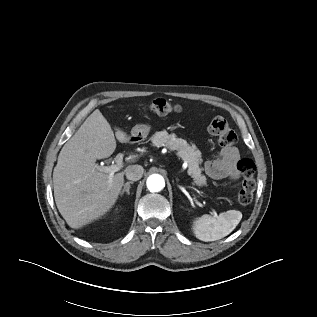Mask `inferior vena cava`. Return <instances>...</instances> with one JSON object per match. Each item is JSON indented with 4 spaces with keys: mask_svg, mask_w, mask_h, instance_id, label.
<instances>
[{
    "mask_svg": "<svg viewBox=\"0 0 317 317\" xmlns=\"http://www.w3.org/2000/svg\"><path fill=\"white\" fill-rule=\"evenodd\" d=\"M128 180L137 181L142 178L144 169L141 165H131L125 170Z\"/></svg>",
    "mask_w": 317,
    "mask_h": 317,
    "instance_id": "602c4592",
    "label": "inferior vena cava"
}]
</instances>
